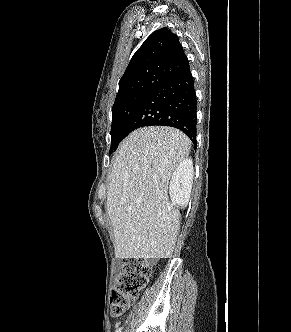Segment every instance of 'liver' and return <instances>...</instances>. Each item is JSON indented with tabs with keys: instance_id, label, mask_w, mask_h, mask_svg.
<instances>
[{
	"instance_id": "liver-1",
	"label": "liver",
	"mask_w": 291,
	"mask_h": 332,
	"mask_svg": "<svg viewBox=\"0 0 291 332\" xmlns=\"http://www.w3.org/2000/svg\"><path fill=\"white\" fill-rule=\"evenodd\" d=\"M180 130L139 128L120 144L107 187V213L117 258H171L180 212L170 202L169 180L190 152Z\"/></svg>"
}]
</instances>
